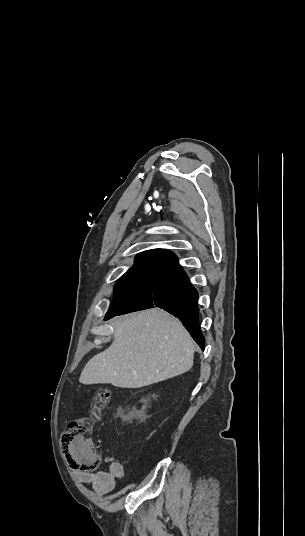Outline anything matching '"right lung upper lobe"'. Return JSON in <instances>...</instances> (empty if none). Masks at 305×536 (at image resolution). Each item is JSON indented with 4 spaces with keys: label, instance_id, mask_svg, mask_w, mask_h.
Returning a JSON list of instances; mask_svg holds the SVG:
<instances>
[{
    "label": "right lung upper lobe",
    "instance_id": "obj_1",
    "mask_svg": "<svg viewBox=\"0 0 305 536\" xmlns=\"http://www.w3.org/2000/svg\"><path fill=\"white\" fill-rule=\"evenodd\" d=\"M181 271L183 269L179 266L177 257L172 252L164 249H153L138 254L135 265L122 277L167 278Z\"/></svg>",
    "mask_w": 305,
    "mask_h": 536
}]
</instances>
